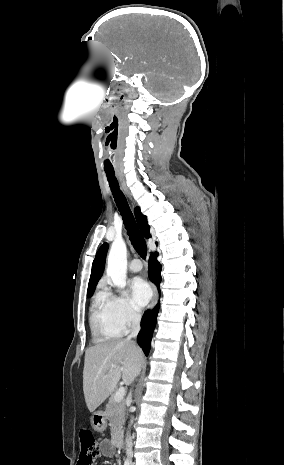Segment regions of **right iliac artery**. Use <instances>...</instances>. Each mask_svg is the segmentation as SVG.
<instances>
[{
    "instance_id": "obj_1",
    "label": "right iliac artery",
    "mask_w": 284,
    "mask_h": 465,
    "mask_svg": "<svg viewBox=\"0 0 284 465\" xmlns=\"http://www.w3.org/2000/svg\"><path fill=\"white\" fill-rule=\"evenodd\" d=\"M124 465H130V462L128 460H125Z\"/></svg>"
}]
</instances>
